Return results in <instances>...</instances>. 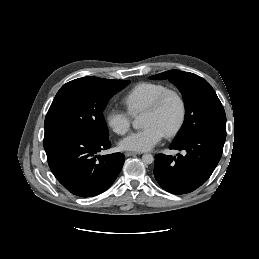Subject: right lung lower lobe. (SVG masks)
<instances>
[{
  "label": "right lung lower lobe",
  "mask_w": 259,
  "mask_h": 259,
  "mask_svg": "<svg viewBox=\"0 0 259 259\" xmlns=\"http://www.w3.org/2000/svg\"><path fill=\"white\" fill-rule=\"evenodd\" d=\"M44 149L56 179L72 194L81 197L107 190L124 164V155L100 156L109 149L108 139L79 131H62L44 135Z\"/></svg>",
  "instance_id": "obj_1"
}]
</instances>
